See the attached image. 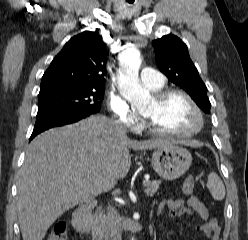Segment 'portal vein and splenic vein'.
I'll return each instance as SVG.
<instances>
[{"instance_id":"18ae733b","label":"portal vein and splenic vein","mask_w":248,"mask_h":240,"mask_svg":"<svg viewBox=\"0 0 248 240\" xmlns=\"http://www.w3.org/2000/svg\"><path fill=\"white\" fill-rule=\"evenodd\" d=\"M146 181L143 182V185H145Z\"/></svg>"}]
</instances>
